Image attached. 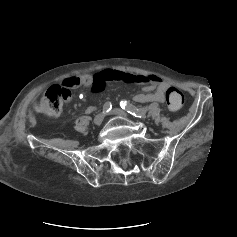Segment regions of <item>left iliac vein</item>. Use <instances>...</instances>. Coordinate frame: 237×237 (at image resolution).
<instances>
[{"instance_id":"left-iliac-vein-1","label":"left iliac vein","mask_w":237,"mask_h":237,"mask_svg":"<svg viewBox=\"0 0 237 237\" xmlns=\"http://www.w3.org/2000/svg\"><path fill=\"white\" fill-rule=\"evenodd\" d=\"M110 113L115 116L129 118L128 114L119 108H114Z\"/></svg>"}]
</instances>
